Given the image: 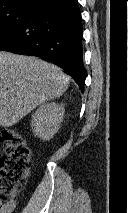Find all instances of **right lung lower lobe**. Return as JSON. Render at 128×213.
I'll use <instances>...</instances> for the list:
<instances>
[{"label":"right lung lower lobe","mask_w":128,"mask_h":213,"mask_svg":"<svg viewBox=\"0 0 128 213\" xmlns=\"http://www.w3.org/2000/svg\"><path fill=\"white\" fill-rule=\"evenodd\" d=\"M82 19L78 0H41L21 25L0 41V51L54 61L83 92Z\"/></svg>","instance_id":"98d812e1"}]
</instances>
